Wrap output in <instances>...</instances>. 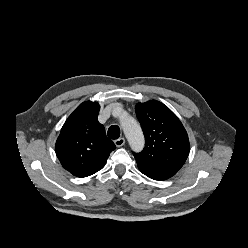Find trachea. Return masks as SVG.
Here are the masks:
<instances>
[{
    "mask_svg": "<svg viewBox=\"0 0 248 248\" xmlns=\"http://www.w3.org/2000/svg\"><path fill=\"white\" fill-rule=\"evenodd\" d=\"M108 137L110 139H118L120 137V129L116 125H111L108 129Z\"/></svg>",
    "mask_w": 248,
    "mask_h": 248,
    "instance_id": "obj_1",
    "label": "trachea"
}]
</instances>
